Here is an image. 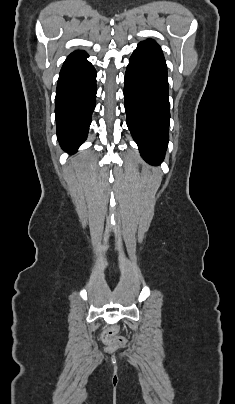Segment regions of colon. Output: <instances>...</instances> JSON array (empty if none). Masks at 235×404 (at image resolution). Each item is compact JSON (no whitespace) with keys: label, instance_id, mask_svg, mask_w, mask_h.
Listing matches in <instances>:
<instances>
[{"label":"colon","instance_id":"1","mask_svg":"<svg viewBox=\"0 0 235 404\" xmlns=\"http://www.w3.org/2000/svg\"><path fill=\"white\" fill-rule=\"evenodd\" d=\"M116 327L111 326L101 335V339L111 350L118 349L125 344V338L122 336H116Z\"/></svg>","mask_w":235,"mask_h":404}]
</instances>
